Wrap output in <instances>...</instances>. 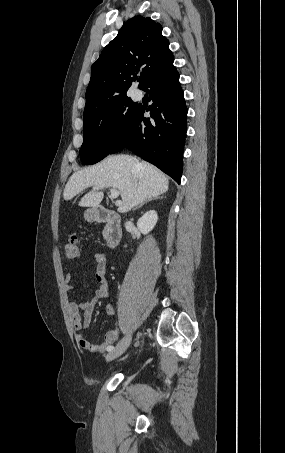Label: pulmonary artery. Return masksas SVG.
Masks as SVG:
<instances>
[{
  "mask_svg": "<svg viewBox=\"0 0 285 453\" xmlns=\"http://www.w3.org/2000/svg\"><path fill=\"white\" fill-rule=\"evenodd\" d=\"M140 95H141V93H140L139 91H135L134 94H133V96H134L135 98H139Z\"/></svg>",
  "mask_w": 285,
  "mask_h": 453,
  "instance_id": "1",
  "label": "pulmonary artery"
}]
</instances>
